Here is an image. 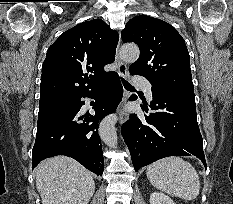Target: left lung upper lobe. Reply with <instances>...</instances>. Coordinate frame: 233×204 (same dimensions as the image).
I'll return each instance as SVG.
<instances>
[{"mask_svg":"<svg viewBox=\"0 0 233 204\" xmlns=\"http://www.w3.org/2000/svg\"><path fill=\"white\" fill-rule=\"evenodd\" d=\"M123 42L140 48L139 59L131 64L132 75L144 76L153 92L194 96L189 53L184 39L165 21L141 15L132 18L122 30Z\"/></svg>","mask_w":233,"mask_h":204,"instance_id":"5c2ea615","label":"left lung upper lobe"}]
</instances>
